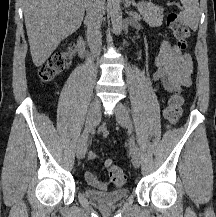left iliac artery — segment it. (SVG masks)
<instances>
[{"label":"left iliac artery","instance_id":"44dca946","mask_svg":"<svg viewBox=\"0 0 216 217\" xmlns=\"http://www.w3.org/2000/svg\"><path fill=\"white\" fill-rule=\"evenodd\" d=\"M134 147H135V138L132 137L130 139V142H129V149H130V151H132L134 149Z\"/></svg>","mask_w":216,"mask_h":217}]
</instances>
